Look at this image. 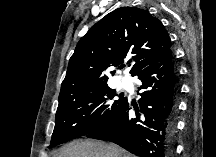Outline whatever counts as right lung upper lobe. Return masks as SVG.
Returning <instances> with one entry per match:
<instances>
[{"instance_id":"1","label":"right lung upper lobe","mask_w":216,"mask_h":157,"mask_svg":"<svg viewBox=\"0 0 216 157\" xmlns=\"http://www.w3.org/2000/svg\"><path fill=\"white\" fill-rule=\"evenodd\" d=\"M171 41L159 19L136 7H121L107 14L83 36L71 56L59 98L108 87L104 71L122 66L131 57L130 74L159 60ZM112 75L114 71L110 72Z\"/></svg>"}]
</instances>
